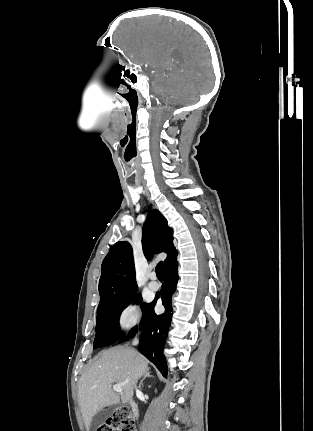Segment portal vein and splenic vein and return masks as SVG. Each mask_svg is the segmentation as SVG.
Listing matches in <instances>:
<instances>
[{
	"instance_id": "obj_1",
	"label": "portal vein and splenic vein",
	"mask_w": 313,
	"mask_h": 431,
	"mask_svg": "<svg viewBox=\"0 0 313 431\" xmlns=\"http://www.w3.org/2000/svg\"><path fill=\"white\" fill-rule=\"evenodd\" d=\"M113 390L115 392L122 393L123 392L122 385L121 384H114L113 385Z\"/></svg>"
}]
</instances>
